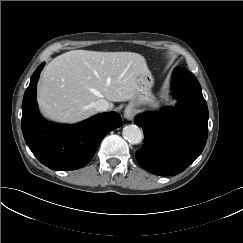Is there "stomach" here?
<instances>
[{
  "instance_id": "1",
  "label": "stomach",
  "mask_w": 243,
  "mask_h": 243,
  "mask_svg": "<svg viewBox=\"0 0 243 243\" xmlns=\"http://www.w3.org/2000/svg\"><path fill=\"white\" fill-rule=\"evenodd\" d=\"M154 85V77L148 70L145 73L140 74L137 80V94L131 104L134 106H147L151 109H155L158 106L156 97L152 93V87Z\"/></svg>"
}]
</instances>
